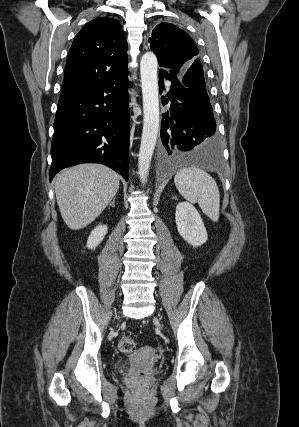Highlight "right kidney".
Segmentation results:
<instances>
[{"instance_id": "1", "label": "right kidney", "mask_w": 299, "mask_h": 427, "mask_svg": "<svg viewBox=\"0 0 299 427\" xmlns=\"http://www.w3.org/2000/svg\"><path fill=\"white\" fill-rule=\"evenodd\" d=\"M108 228L106 225L100 224L91 232L87 240V248L95 249L105 237Z\"/></svg>"}]
</instances>
